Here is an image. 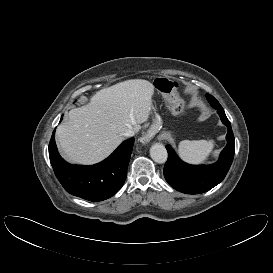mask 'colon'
I'll use <instances>...</instances> for the list:
<instances>
[{
	"instance_id": "5ec220e1",
	"label": "colon",
	"mask_w": 273,
	"mask_h": 273,
	"mask_svg": "<svg viewBox=\"0 0 273 273\" xmlns=\"http://www.w3.org/2000/svg\"><path fill=\"white\" fill-rule=\"evenodd\" d=\"M155 86L161 92L170 93L176 88V83L166 78H159L155 81ZM182 110H183L182 106L176 108V111L178 113H181Z\"/></svg>"
}]
</instances>
